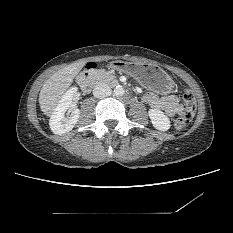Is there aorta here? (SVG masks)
<instances>
[{"label":"aorta","mask_w":233,"mask_h":233,"mask_svg":"<svg viewBox=\"0 0 233 233\" xmlns=\"http://www.w3.org/2000/svg\"><path fill=\"white\" fill-rule=\"evenodd\" d=\"M124 93H125V90H124V88H123L122 86H116V87L114 88V94H115L116 96H123Z\"/></svg>","instance_id":"aorta-1"}]
</instances>
